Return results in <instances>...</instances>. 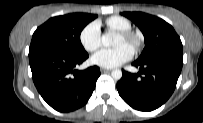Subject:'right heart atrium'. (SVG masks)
<instances>
[{
  "instance_id": "right-heart-atrium-1",
  "label": "right heart atrium",
  "mask_w": 203,
  "mask_h": 123,
  "mask_svg": "<svg viewBox=\"0 0 203 123\" xmlns=\"http://www.w3.org/2000/svg\"><path fill=\"white\" fill-rule=\"evenodd\" d=\"M80 42L88 52H94L100 47L101 31L98 21H92L82 29Z\"/></svg>"
}]
</instances>
